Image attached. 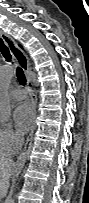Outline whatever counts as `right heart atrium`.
I'll return each mask as SVG.
<instances>
[{"mask_svg":"<svg viewBox=\"0 0 89 203\" xmlns=\"http://www.w3.org/2000/svg\"><path fill=\"white\" fill-rule=\"evenodd\" d=\"M0 139L3 145L11 151H15L23 139L10 124H3L0 131Z\"/></svg>","mask_w":89,"mask_h":203,"instance_id":"obj_1","label":"right heart atrium"}]
</instances>
